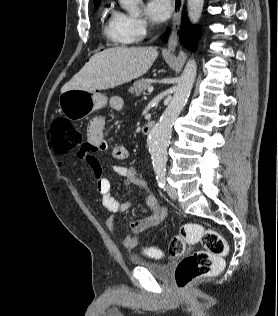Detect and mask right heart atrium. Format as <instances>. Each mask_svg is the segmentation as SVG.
Here are the masks:
<instances>
[{
    "label": "right heart atrium",
    "instance_id": "1",
    "mask_svg": "<svg viewBox=\"0 0 278 316\" xmlns=\"http://www.w3.org/2000/svg\"><path fill=\"white\" fill-rule=\"evenodd\" d=\"M116 19L122 34L129 42L141 41L149 30V23L143 18L116 11Z\"/></svg>",
    "mask_w": 278,
    "mask_h": 316
}]
</instances>
